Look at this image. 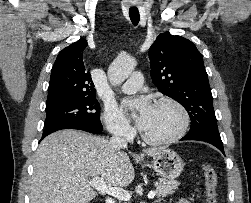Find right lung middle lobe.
I'll return each mask as SVG.
<instances>
[{
    "instance_id": "right-lung-middle-lobe-1",
    "label": "right lung middle lobe",
    "mask_w": 251,
    "mask_h": 203,
    "mask_svg": "<svg viewBox=\"0 0 251 203\" xmlns=\"http://www.w3.org/2000/svg\"><path fill=\"white\" fill-rule=\"evenodd\" d=\"M64 123H80L102 132L100 105L96 97L46 107L45 128Z\"/></svg>"
}]
</instances>
